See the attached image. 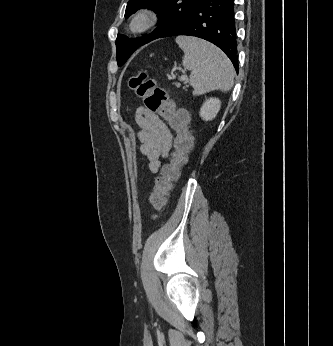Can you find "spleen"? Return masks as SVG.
Here are the masks:
<instances>
[{
  "instance_id": "3e777b00",
  "label": "spleen",
  "mask_w": 333,
  "mask_h": 346,
  "mask_svg": "<svg viewBox=\"0 0 333 346\" xmlns=\"http://www.w3.org/2000/svg\"><path fill=\"white\" fill-rule=\"evenodd\" d=\"M176 43L184 52L183 66L191 71L193 95L232 88L233 65L218 47L202 39L184 36L177 37Z\"/></svg>"
}]
</instances>
